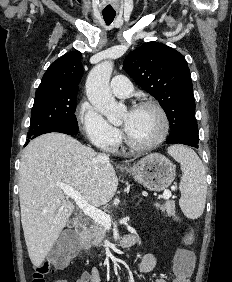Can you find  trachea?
I'll list each match as a JSON object with an SVG mask.
<instances>
[{
    "instance_id": "3493384b",
    "label": "trachea",
    "mask_w": 232,
    "mask_h": 282,
    "mask_svg": "<svg viewBox=\"0 0 232 282\" xmlns=\"http://www.w3.org/2000/svg\"><path fill=\"white\" fill-rule=\"evenodd\" d=\"M116 13L114 12H105L103 13V18L106 24H111L115 18Z\"/></svg>"
}]
</instances>
